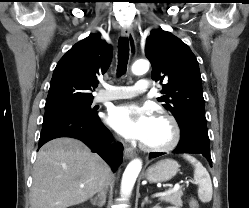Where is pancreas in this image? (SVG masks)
I'll return each mask as SVG.
<instances>
[{
    "instance_id": "cf45deb5",
    "label": "pancreas",
    "mask_w": 249,
    "mask_h": 208,
    "mask_svg": "<svg viewBox=\"0 0 249 208\" xmlns=\"http://www.w3.org/2000/svg\"><path fill=\"white\" fill-rule=\"evenodd\" d=\"M182 195H183V191L177 190V191L171 192L167 195L161 196L160 200L165 201V202H169V203L175 205V208H180V207H182V204H183V202L181 200Z\"/></svg>"
}]
</instances>
